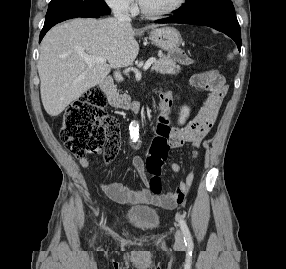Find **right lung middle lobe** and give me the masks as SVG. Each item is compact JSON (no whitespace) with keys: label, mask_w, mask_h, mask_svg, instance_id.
<instances>
[{"label":"right lung middle lobe","mask_w":286,"mask_h":269,"mask_svg":"<svg viewBox=\"0 0 286 269\" xmlns=\"http://www.w3.org/2000/svg\"><path fill=\"white\" fill-rule=\"evenodd\" d=\"M80 13L106 15L110 9L104 0H51L44 24Z\"/></svg>","instance_id":"dd1d6c3e"}]
</instances>
